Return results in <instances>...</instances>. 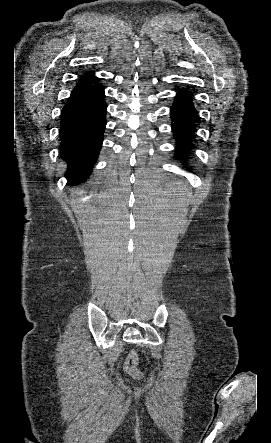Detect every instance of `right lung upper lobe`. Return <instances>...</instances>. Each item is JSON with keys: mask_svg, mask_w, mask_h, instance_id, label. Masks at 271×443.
<instances>
[{"mask_svg": "<svg viewBox=\"0 0 271 443\" xmlns=\"http://www.w3.org/2000/svg\"><path fill=\"white\" fill-rule=\"evenodd\" d=\"M97 79L93 73H86L84 74V76L81 77V79L79 81H90V80H94Z\"/></svg>", "mask_w": 271, "mask_h": 443, "instance_id": "cb5924a9", "label": "right lung upper lobe"}]
</instances>
